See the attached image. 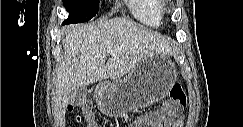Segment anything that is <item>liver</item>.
I'll return each instance as SVG.
<instances>
[{"instance_id": "liver-1", "label": "liver", "mask_w": 243, "mask_h": 127, "mask_svg": "<svg viewBox=\"0 0 243 127\" xmlns=\"http://www.w3.org/2000/svg\"><path fill=\"white\" fill-rule=\"evenodd\" d=\"M62 45L63 59L56 70L52 98L60 127L65 125L72 90L108 78L120 79L150 55L175 52L166 37L121 17L103 19L86 27L69 26ZM107 55L110 57L105 63Z\"/></svg>"}]
</instances>
